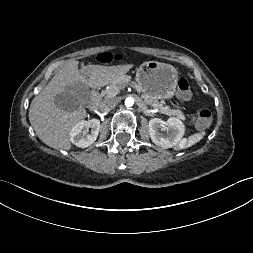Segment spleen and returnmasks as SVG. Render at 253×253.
<instances>
[{"mask_svg":"<svg viewBox=\"0 0 253 253\" xmlns=\"http://www.w3.org/2000/svg\"><path fill=\"white\" fill-rule=\"evenodd\" d=\"M205 136V132H199L191 135L189 138L182 139L179 142L178 149H183V148H188L191 147L192 145L196 144L200 140L203 139Z\"/></svg>","mask_w":253,"mask_h":253,"instance_id":"3e777b00","label":"spleen"}]
</instances>
